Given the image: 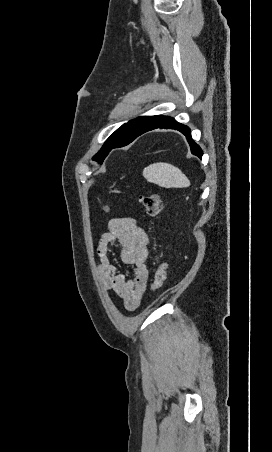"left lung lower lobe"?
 I'll use <instances>...</instances> for the list:
<instances>
[{
	"label": "left lung lower lobe",
	"mask_w": 272,
	"mask_h": 452,
	"mask_svg": "<svg viewBox=\"0 0 272 452\" xmlns=\"http://www.w3.org/2000/svg\"><path fill=\"white\" fill-rule=\"evenodd\" d=\"M175 129L180 131L181 133H183L186 138L187 141L190 145V149H191V153L198 156L199 158L202 157V150L199 147V145H197L194 140L191 137V131L190 129L181 124L178 123L177 121H175V119L171 118V117H166V116H157L156 119L153 121V123L146 128L145 130L141 131L140 133H138L136 136H133L132 138H119L118 140L114 141L111 145V150L113 148H119V147H123L129 143H131L135 138H137L138 136L142 135L143 133L147 132V131H151L153 129Z\"/></svg>",
	"instance_id": "obj_1"
}]
</instances>
